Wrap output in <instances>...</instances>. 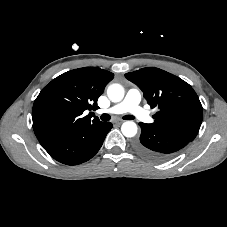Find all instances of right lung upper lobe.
Returning <instances> with one entry per match:
<instances>
[{
	"label": "right lung upper lobe",
	"instance_id": "right-lung-upper-lobe-1",
	"mask_svg": "<svg viewBox=\"0 0 227 227\" xmlns=\"http://www.w3.org/2000/svg\"><path fill=\"white\" fill-rule=\"evenodd\" d=\"M114 74L98 67H84L61 74L41 90L32 109L33 129L44 149L84 127L101 123L83 116L97 109V100Z\"/></svg>",
	"mask_w": 227,
	"mask_h": 227
}]
</instances>
